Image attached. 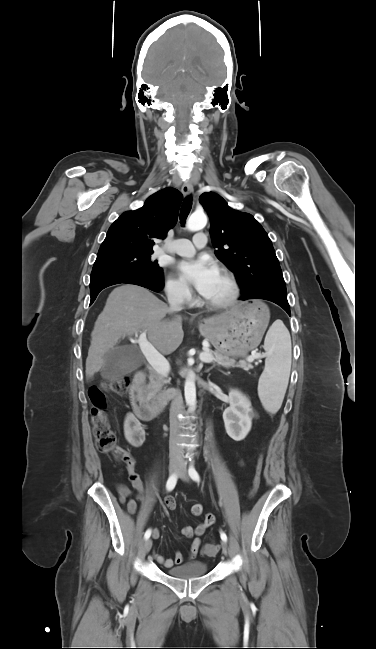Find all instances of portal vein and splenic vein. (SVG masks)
Wrapping results in <instances>:
<instances>
[{"label": "portal vein and splenic vein", "instance_id": "18ae733b", "mask_svg": "<svg viewBox=\"0 0 376 649\" xmlns=\"http://www.w3.org/2000/svg\"><path fill=\"white\" fill-rule=\"evenodd\" d=\"M138 344L148 361V363L151 365V367L158 373L163 374V375H168L170 371V365L169 362L166 360V358L160 354L155 347L152 345L151 342L147 340L146 337V332H142L139 335L138 338ZM258 355H252L247 357L248 362H253ZM214 360V357L210 353H205V354H200V361L204 363H210ZM246 370L248 367L245 368Z\"/></svg>", "mask_w": 376, "mask_h": 649}]
</instances>
